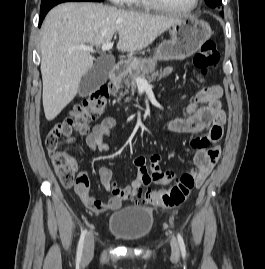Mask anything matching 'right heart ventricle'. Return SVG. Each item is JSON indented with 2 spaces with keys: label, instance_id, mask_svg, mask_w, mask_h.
<instances>
[{
  "label": "right heart ventricle",
  "instance_id": "1",
  "mask_svg": "<svg viewBox=\"0 0 265 269\" xmlns=\"http://www.w3.org/2000/svg\"><path fill=\"white\" fill-rule=\"evenodd\" d=\"M127 4L131 7L149 9L151 6L146 0H128Z\"/></svg>",
  "mask_w": 265,
  "mask_h": 269
}]
</instances>
